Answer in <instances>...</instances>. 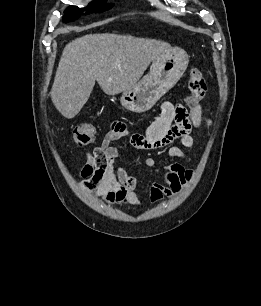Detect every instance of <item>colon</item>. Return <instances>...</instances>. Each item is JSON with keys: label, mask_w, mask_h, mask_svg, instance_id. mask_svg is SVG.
I'll return each instance as SVG.
<instances>
[{"label": "colon", "mask_w": 261, "mask_h": 306, "mask_svg": "<svg viewBox=\"0 0 261 306\" xmlns=\"http://www.w3.org/2000/svg\"><path fill=\"white\" fill-rule=\"evenodd\" d=\"M187 88L189 95L186 98V104L188 107L194 108L199 105L207 90L206 80L200 68L194 67L189 71ZM93 136V127L89 123L83 122L75 128L73 141L77 146L85 147L93 141ZM90 159L98 169H103L106 165V155L101 147L92 151ZM86 184L92 187L91 183L86 182Z\"/></svg>", "instance_id": "1"}]
</instances>
